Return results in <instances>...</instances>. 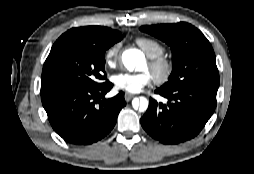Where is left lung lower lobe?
Instances as JSON below:
<instances>
[{
  "label": "left lung lower lobe",
  "instance_id": "1",
  "mask_svg": "<svg viewBox=\"0 0 254 174\" xmlns=\"http://www.w3.org/2000/svg\"><path fill=\"white\" fill-rule=\"evenodd\" d=\"M218 88L189 85L177 90L158 88L155 93L168 99L167 104L150 98L141 118L144 130L164 144H178L197 136L212 116Z\"/></svg>",
  "mask_w": 254,
  "mask_h": 174
}]
</instances>
